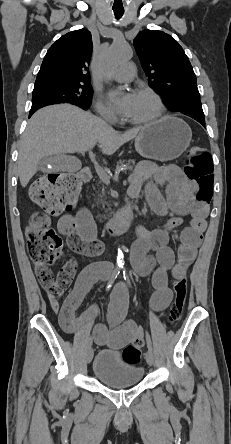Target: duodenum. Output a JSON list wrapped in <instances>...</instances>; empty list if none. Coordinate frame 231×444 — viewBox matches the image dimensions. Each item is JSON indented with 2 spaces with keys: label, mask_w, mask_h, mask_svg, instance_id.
<instances>
[{
  "label": "duodenum",
  "mask_w": 231,
  "mask_h": 444,
  "mask_svg": "<svg viewBox=\"0 0 231 444\" xmlns=\"http://www.w3.org/2000/svg\"><path fill=\"white\" fill-rule=\"evenodd\" d=\"M79 178L83 182H89L91 180L92 173L88 166L81 169ZM133 217L134 213L132 209L124 211L121 215L103 225L104 233L109 237H113L129 230L133 226Z\"/></svg>",
  "instance_id": "duodenum-1"
}]
</instances>
